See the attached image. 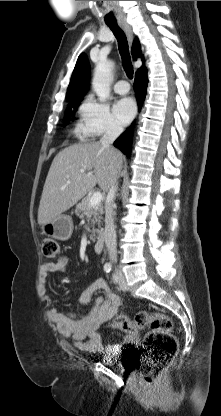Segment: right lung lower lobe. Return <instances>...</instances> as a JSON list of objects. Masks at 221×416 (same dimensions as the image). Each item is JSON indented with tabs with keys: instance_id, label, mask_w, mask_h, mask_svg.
<instances>
[{
	"instance_id": "1",
	"label": "right lung lower lobe",
	"mask_w": 221,
	"mask_h": 416,
	"mask_svg": "<svg viewBox=\"0 0 221 416\" xmlns=\"http://www.w3.org/2000/svg\"><path fill=\"white\" fill-rule=\"evenodd\" d=\"M147 84L148 79L146 70L137 72L135 75L134 90L136 93L139 109L142 107L143 101L145 99ZM133 125L134 123L114 142V146L119 148L128 157L130 156L131 152Z\"/></svg>"
}]
</instances>
